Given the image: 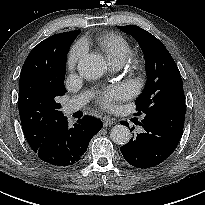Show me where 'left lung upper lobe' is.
I'll list each match as a JSON object with an SVG mask.
<instances>
[{
  "label": "left lung upper lobe",
  "mask_w": 205,
  "mask_h": 205,
  "mask_svg": "<svg viewBox=\"0 0 205 205\" xmlns=\"http://www.w3.org/2000/svg\"><path fill=\"white\" fill-rule=\"evenodd\" d=\"M120 29L139 42L146 59L148 78L136 101V115L152 113L162 105L185 104L180 72L163 43L135 25L120 26Z\"/></svg>",
  "instance_id": "5c2ea615"
}]
</instances>
